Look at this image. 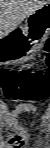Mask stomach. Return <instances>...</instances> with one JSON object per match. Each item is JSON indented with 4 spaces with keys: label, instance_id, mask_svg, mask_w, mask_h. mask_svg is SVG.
<instances>
[{
    "label": "stomach",
    "instance_id": "1",
    "mask_svg": "<svg viewBox=\"0 0 50 148\" xmlns=\"http://www.w3.org/2000/svg\"><path fill=\"white\" fill-rule=\"evenodd\" d=\"M26 38L17 43H7L0 54L2 64H16L32 59L50 33V5L47 4L27 18L24 28Z\"/></svg>",
    "mask_w": 50,
    "mask_h": 148
}]
</instances>
